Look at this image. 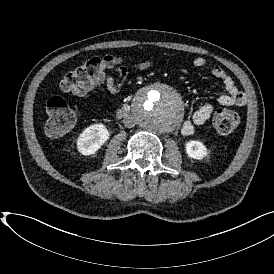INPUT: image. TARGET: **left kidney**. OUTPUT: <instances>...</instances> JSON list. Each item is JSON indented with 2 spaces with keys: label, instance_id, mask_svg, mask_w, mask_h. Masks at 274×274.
<instances>
[{
  "label": "left kidney",
  "instance_id": "1",
  "mask_svg": "<svg viewBox=\"0 0 274 274\" xmlns=\"http://www.w3.org/2000/svg\"><path fill=\"white\" fill-rule=\"evenodd\" d=\"M185 153L188 158L194 160H204L208 154L209 150L200 140H189L185 143Z\"/></svg>",
  "mask_w": 274,
  "mask_h": 274
}]
</instances>
